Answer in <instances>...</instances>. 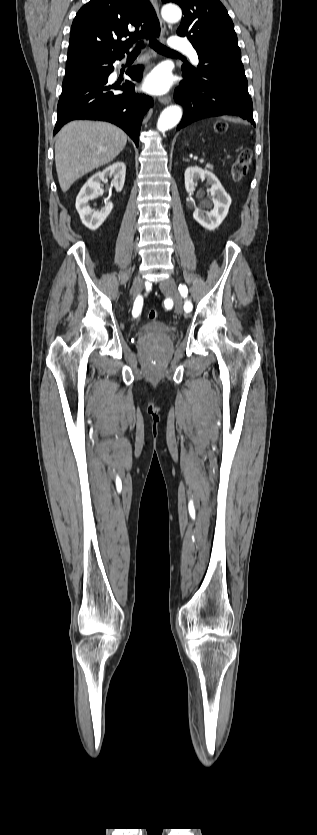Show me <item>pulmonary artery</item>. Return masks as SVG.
<instances>
[{
    "instance_id": "pulmonary-artery-1",
    "label": "pulmonary artery",
    "mask_w": 317,
    "mask_h": 835,
    "mask_svg": "<svg viewBox=\"0 0 317 835\" xmlns=\"http://www.w3.org/2000/svg\"><path fill=\"white\" fill-rule=\"evenodd\" d=\"M169 45L173 50L186 53L193 63L197 64L199 62L198 53L190 42L178 37H173Z\"/></svg>"
}]
</instances>
